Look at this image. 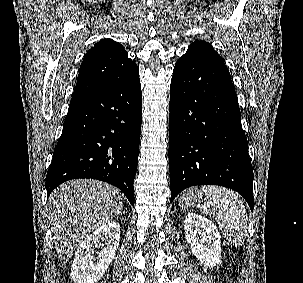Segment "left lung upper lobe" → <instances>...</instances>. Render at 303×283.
Wrapping results in <instances>:
<instances>
[{
	"instance_id": "obj_1",
	"label": "left lung upper lobe",
	"mask_w": 303,
	"mask_h": 283,
	"mask_svg": "<svg viewBox=\"0 0 303 283\" xmlns=\"http://www.w3.org/2000/svg\"><path fill=\"white\" fill-rule=\"evenodd\" d=\"M202 50H214V49L209 43L200 40V41H195L194 43H192L188 47L187 52L202 51Z\"/></svg>"
}]
</instances>
